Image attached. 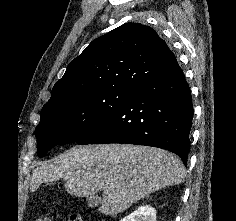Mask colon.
I'll return each mask as SVG.
<instances>
[{
	"instance_id": "obj_1",
	"label": "colon",
	"mask_w": 236,
	"mask_h": 221,
	"mask_svg": "<svg viewBox=\"0 0 236 221\" xmlns=\"http://www.w3.org/2000/svg\"><path fill=\"white\" fill-rule=\"evenodd\" d=\"M35 221H52V219H51L50 216H45V217H42V218H38ZM67 221H83V220L80 216L73 215V216H70Z\"/></svg>"
}]
</instances>
